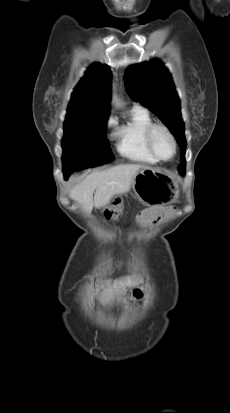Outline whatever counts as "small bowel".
<instances>
[{"label": "small bowel", "mask_w": 230, "mask_h": 413, "mask_svg": "<svg viewBox=\"0 0 230 413\" xmlns=\"http://www.w3.org/2000/svg\"><path fill=\"white\" fill-rule=\"evenodd\" d=\"M175 212V207L173 205H149L146 209H141L138 211V216L141 218H137L136 225L137 227H159L160 223L163 222L164 218L170 216ZM139 279H130L128 277H123L118 279L115 283L118 287V294L115 299H108V303L113 307H121L122 306V297H123V290L127 286H135L139 283ZM143 295V292L140 289H135L134 297L139 299Z\"/></svg>", "instance_id": "obj_1"}]
</instances>
